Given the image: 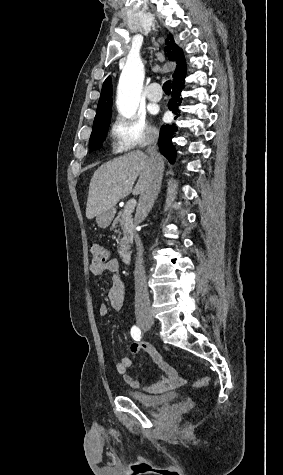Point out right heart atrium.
<instances>
[{
	"mask_svg": "<svg viewBox=\"0 0 283 475\" xmlns=\"http://www.w3.org/2000/svg\"><path fill=\"white\" fill-rule=\"evenodd\" d=\"M158 135L143 115L116 116L109 126V151L113 156L143 154L152 149Z\"/></svg>",
	"mask_w": 283,
	"mask_h": 475,
	"instance_id": "1",
	"label": "right heart atrium"
}]
</instances>
